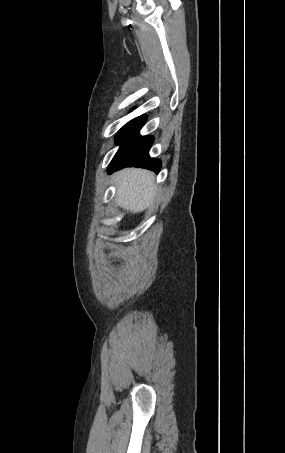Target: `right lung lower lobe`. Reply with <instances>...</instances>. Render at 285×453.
<instances>
[{
    "instance_id": "1",
    "label": "right lung lower lobe",
    "mask_w": 285,
    "mask_h": 453,
    "mask_svg": "<svg viewBox=\"0 0 285 453\" xmlns=\"http://www.w3.org/2000/svg\"><path fill=\"white\" fill-rule=\"evenodd\" d=\"M145 115L139 116L126 125L117 133L115 140L121 144L118 152L108 166V174L124 167H141L158 173L161 169V161L151 158L148 154L153 144L152 136H140L139 130L146 122Z\"/></svg>"
}]
</instances>
